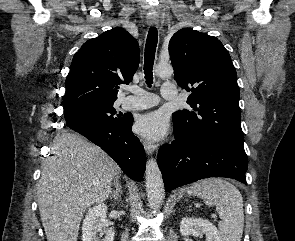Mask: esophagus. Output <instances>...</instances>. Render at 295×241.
Here are the masks:
<instances>
[{"label":"esophagus","mask_w":295,"mask_h":241,"mask_svg":"<svg viewBox=\"0 0 295 241\" xmlns=\"http://www.w3.org/2000/svg\"><path fill=\"white\" fill-rule=\"evenodd\" d=\"M148 24L151 26H157L158 20L155 18H150L148 19ZM142 144L148 154L154 153L157 149V145L149 140H142Z\"/></svg>","instance_id":"34e87169"}]
</instances>
